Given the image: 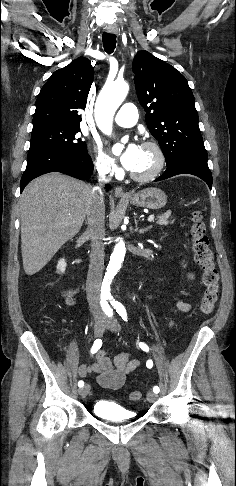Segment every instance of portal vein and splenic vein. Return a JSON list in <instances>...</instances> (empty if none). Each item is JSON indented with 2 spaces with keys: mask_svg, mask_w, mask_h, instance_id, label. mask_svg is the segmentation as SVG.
I'll list each match as a JSON object with an SVG mask.
<instances>
[{
  "mask_svg": "<svg viewBox=\"0 0 236 486\" xmlns=\"http://www.w3.org/2000/svg\"><path fill=\"white\" fill-rule=\"evenodd\" d=\"M153 220H154V215H150V216L148 217V222H152Z\"/></svg>",
  "mask_w": 236,
  "mask_h": 486,
  "instance_id": "1",
  "label": "portal vein and splenic vein"
}]
</instances>
